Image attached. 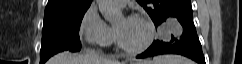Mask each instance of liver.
Returning a JSON list of instances; mask_svg holds the SVG:
<instances>
[{
    "mask_svg": "<svg viewBox=\"0 0 242 64\" xmlns=\"http://www.w3.org/2000/svg\"><path fill=\"white\" fill-rule=\"evenodd\" d=\"M128 61L119 62L117 60L100 57L96 54L77 55L69 52L59 53L50 58L47 64H128ZM150 60L130 61V64H150Z\"/></svg>",
    "mask_w": 242,
    "mask_h": 64,
    "instance_id": "6515ba94",
    "label": "liver"
}]
</instances>
